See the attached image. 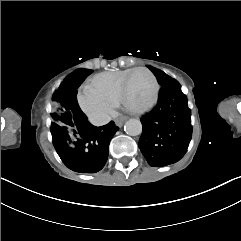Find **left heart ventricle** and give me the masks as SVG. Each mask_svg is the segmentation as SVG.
I'll list each match as a JSON object with an SVG mask.
<instances>
[{
  "label": "left heart ventricle",
  "mask_w": 241,
  "mask_h": 241,
  "mask_svg": "<svg viewBox=\"0 0 241 241\" xmlns=\"http://www.w3.org/2000/svg\"><path fill=\"white\" fill-rule=\"evenodd\" d=\"M124 88L129 92L127 100L123 102L128 109L142 110L152 100L151 81L144 73L134 76L125 83Z\"/></svg>",
  "instance_id": "1"
}]
</instances>
